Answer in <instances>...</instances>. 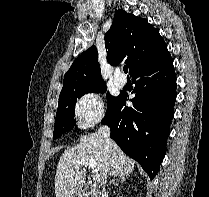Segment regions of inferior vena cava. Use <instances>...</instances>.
I'll return each instance as SVG.
<instances>
[{
	"mask_svg": "<svg viewBox=\"0 0 209 197\" xmlns=\"http://www.w3.org/2000/svg\"><path fill=\"white\" fill-rule=\"evenodd\" d=\"M98 134L104 139V141L110 145L111 144V139H110V128L107 126H101L98 129ZM106 183V180L105 182ZM102 197H107L106 194H104Z\"/></svg>",
	"mask_w": 209,
	"mask_h": 197,
	"instance_id": "obj_1",
	"label": "inferior vena cava"
}]
</instances>
